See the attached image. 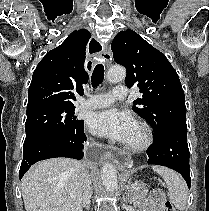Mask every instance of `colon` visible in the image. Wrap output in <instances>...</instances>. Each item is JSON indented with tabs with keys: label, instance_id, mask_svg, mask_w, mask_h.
<instances>
[{
	"label": "colon",
	"instance_id": "colon-1",
	"mask_svg": "<svg viewBox=\"0 0 209 211\" xmlns=\"http://www.w3.org/2000/svg\"><path fill=\"white\" fill-rule=\"evenodd\" d=\"M164 211H176L174 206L172 205V203L169 200H166L164 202Z\"/></svg>",
	"mask_w": 209,
	"mask_h": 211
}]
</instances>
